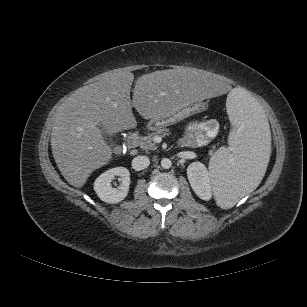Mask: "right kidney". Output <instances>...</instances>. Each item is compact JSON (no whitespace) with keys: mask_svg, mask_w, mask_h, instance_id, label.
<instances>
[{"mask_svg":"<svg viewBox=\"0 0 307 307\" xmlns=\"http://www.w3.org/2000/svg\"><path fill=\"white\" fill-rule=\"evenodd\" d=\"M115 176H119L122 183L118 188L111 185ZM130 185V172L125 167H115L102 173L94 182V190L97 196L106 203H119L128 194Z\"/></svg>","mask_w":307,"mask_h":307,"instance_id":"ca27d5eb","label":"right kidney"}]
</instances>
